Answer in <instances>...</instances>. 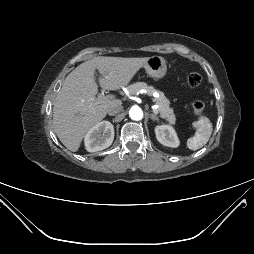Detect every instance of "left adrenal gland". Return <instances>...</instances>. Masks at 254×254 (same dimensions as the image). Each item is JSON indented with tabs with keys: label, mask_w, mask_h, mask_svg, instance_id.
Here are the masks:
<instances>
[{
	"label": "left adrenal gland",
	"mask_w": 254,
	"mask_h": 254,
	"mask_svg": "<svg viewBox=\"0 0 254 254\" xmlns=\"http://www.w3.org/2000/svg\"><path fill=\"white\" fill-rule=\"evenodd\" d=\"M150 118L153 120V121H157V122H159V117L156 115V114H153V113H151L150 114Z\"/></svg>",
	"instance_id": "1"
}]
</instances>
